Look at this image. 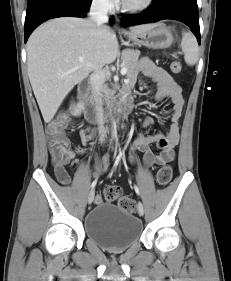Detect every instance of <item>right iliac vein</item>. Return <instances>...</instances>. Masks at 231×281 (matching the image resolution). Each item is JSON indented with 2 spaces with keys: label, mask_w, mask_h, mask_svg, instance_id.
Returning a JSON list of instances; mask_svg holds the SVG:
<instances>
[{
  "label": "right iliac vein",
  "mask_w": 231,
  "mask_h": 281,
  "mask_svg": "<svg viewBox=\"0 0 231 281\" xmlns=\"http://www.w3.org/2000/svg\"><path fill=\"white\" fill-rule=\"evenodd\" d=\"M94 195H95V192H94V190L92 189V190L89 192V194H88V199H87V201H88L89 204L92 203V201H93V199H94Z\"/></svg>",
  "instance_id": "obj_1"
}]
</instances>
